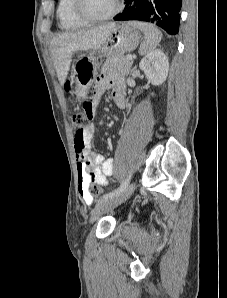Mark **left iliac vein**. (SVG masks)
Returning <instances> with one entry per match:
<instances>
[{
    "label": "left iliac vein",
    "instance_id": "obj_1",
    "mask_svg": "<svg viewBox=\"0 0 227 298\" xmlns=\"http://www.w3.org/2000/svg\"><path fill=\"white\" fill-rule=\"evenodd\" d=\"M135 183L130 184L121 193L106 199L99 200L91 212L90 222L96 221L102 214L110 211L125 202L134 192Z\"/></svg>",
    "mask_w": 227,
    "mask_h": 298
}]
</instances>
